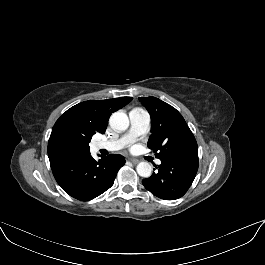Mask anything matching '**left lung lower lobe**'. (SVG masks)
<instances>
[{
  "mask_svg": "<svg viewBox=\"0 0 265 265\" xmlns=\"http://www.w3.org/2000/svg\"><path fill=\"white\" fill-rule=\"evenodd\" d=\"M157 173L143 179L144 187L165 200L182 197L191 186L198 170V154L160 158Z\"/></svg>",
  "mask_w": 265,
  "mask_h": 265,
  "instance_id": "left-lung-lower-lobe-1",
  "label": "left lung lower lobe"
}]
</instances>
